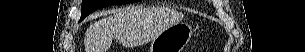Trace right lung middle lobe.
<instances>
[{"mask_svg":"<svg viewBox=\"0 0 305 52\" xmlns=\"http://www.w3.org/2000/svg\"><path fill=\"white\" fill-rule=\"evenodd\" d=\"M140 0H83L82 6H81V19L82 21L87 15H89L91 12L103 8L106 6L114 5V4H127V3H133Z\"/></svg>","mask_w":305,"mask_h":52,"instance_id":"obj_1","label":"right lung middle lobe"}]
</instances>
